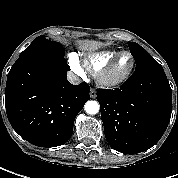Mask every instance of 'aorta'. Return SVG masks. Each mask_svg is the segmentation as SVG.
<instances>
[{
	"label": "aorta",
	"instance_id": "obj_1",
	"mask_svg": "<svg viewBox=\"0 0 178 178\" xmlns=\"http://www.w3.org/2000/svg\"><path fill=\"white\" fill-rule=\"evenodd\" d=\"M84 108H85V111L88 114L93 115V114L98 113V111H99V104H98L97 101H88V102H86Z\"/></svg>",
	"mask_w": 178,
	"mask_h": 178
}]
</instances>
